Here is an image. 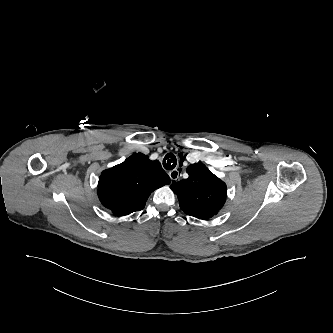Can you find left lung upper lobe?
<instances>
[{"label": "left lung upper lobe", "mask_w": 333, "mask_h": 333, "mask_svg": "<svg viewBox=\"0 0 333 333\" xmlns=\"http://www.w3.org/2000/svg\"><path fill=\"white\" fill-rule=\"evenodd\" d=\"M186 171L187 179L173 181L170 186L178 195L180 208L188 215L216 214L225 203L226 184L201 162L189 165Z\"/></svg>", "instance_id": "1"}]
</instances>
